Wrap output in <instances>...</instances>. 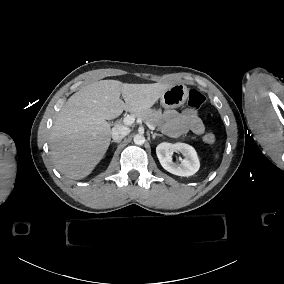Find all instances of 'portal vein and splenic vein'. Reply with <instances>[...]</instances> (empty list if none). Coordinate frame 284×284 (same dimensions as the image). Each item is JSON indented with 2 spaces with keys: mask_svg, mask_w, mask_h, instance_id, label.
<instances>
[{
  "mask_svg": "<svg viewBox=\"0 0 284 284\" xmlns=\"http://www.w3.org/2000/svg\"><path fill=\"white\" fill-rule=\"evenodd\" d=\"M135 121V119L131 116H127L125 118H123V124L124 125H127V126H130L131 124H133ZM147 126L149 127L150 130L154 131L155 130V127L150 125V124H147Z\"/></svg>",
  "mask_w": 284,
  "mask_h": 284,
  "instance_id": "1",
  "label": "portal vein and splenic vein"
}]
</instances>
